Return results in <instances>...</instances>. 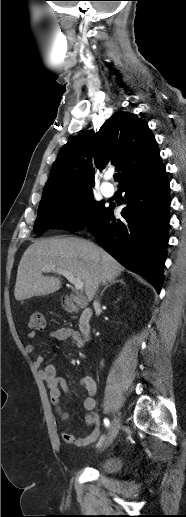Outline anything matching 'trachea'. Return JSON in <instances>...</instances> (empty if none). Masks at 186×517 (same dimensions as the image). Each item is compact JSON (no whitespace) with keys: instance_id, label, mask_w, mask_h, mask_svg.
I'll use <instances>...</instances> for the list:
<instances>
[{"instance_id":"trachea-1","label":"trachea","mask_w":186,"mask_h":517,"mask_svg":"<svg viewBox=\"0 0 186 517\" xmlns=\"http://www.w3.org/2000/svg\"><path fill=\"white\" fill-rule=\"evenodd\" d=\"M121 173H117L114 175V180L118 181L120 179Z\"/></svg>"}]
</instances>
